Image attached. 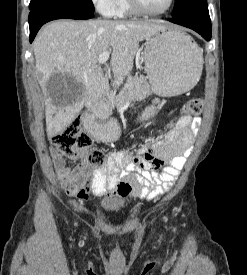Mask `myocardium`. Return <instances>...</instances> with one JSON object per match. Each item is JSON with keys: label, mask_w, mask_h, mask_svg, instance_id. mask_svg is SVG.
I'll use <instances>...</instances> for the list:
<instances>
[{"label": "myocardium", "mask_w": 247, "mask_h": 275, "mask_svg": "<svg viewBox=\"0 0 247 275\" xmlns=\"http://www.w3.org/2000/svg\"><path fill=\"white\" fill-rule=\"evenodd\" d=\"M128 1H129V4L134 12L141 14V15H146V16H159V15L165 14L173 7L174 2H175V0H169L168 5L164 9L159 10V11H152V10L147 9L143 5L141 0H128Z\"/></svg>", "instance_id": "myocardium-1"}]
</instances>
